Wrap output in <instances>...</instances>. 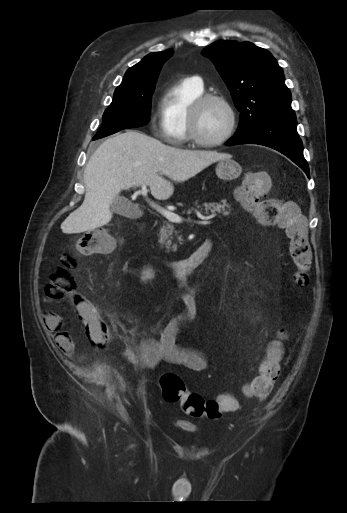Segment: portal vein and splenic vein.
<instances>
[{"mask_svg": "<svg viewBox=\"0 0 347 513\" xmlns=\"http://www.w3.org/2000/svg\"><path fill=\"white\" fill-rule=\"evenodd\" d=\"M141 187V194L144 196V197H147V188H146V185L145 184H141L139 185ZM150 205L152 208H154L157 212H159L161 215H163L165 218H167L169 221L171 222H174V223H180L183 221V218L181 216H179L178 214L170 211V210H166V209H163L161 208L160 206L156 205L155 203L153 202H150ZM213 217L212 216H208V217H204L203 220L201 221H194L195 223H198V224H210L211 223V220Z\"/></svg>", "mask_w": 347, "mask_h": 513, "instance_id": "obj_1", "label": "portal vein and splenic vein"}]
</instances>
